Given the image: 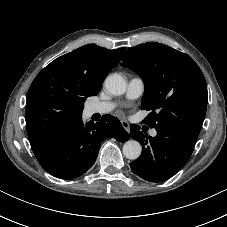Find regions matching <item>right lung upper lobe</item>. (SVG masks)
Segmentation results:
<instances>
[{
  "label": "right lung upper lobe",
  "instance_id": "obj_1",
  "mask_svg": "<svg viewBox=\"0 0 227 227\" xmlns=\"http://www.w3.org/2000/svg\"><path fill=\"white\" fill-rule=\"evenodd\" d=\"M125 50L85 45L58 57L40 71L30 86L25 108L34 154L82 119L86 98L98 94L105 77L120 62Z\"/></svg>",
  "mask_w": 227,
  "mask_h": 227
}]
</instances>
